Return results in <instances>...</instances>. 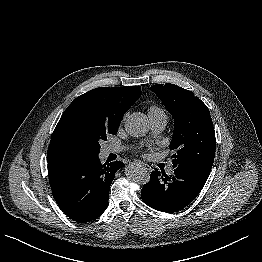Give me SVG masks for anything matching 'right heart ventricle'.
<instances>
[{
  "label": "right heart ventricle",
  "instance_id": "1",
  "mask_svg": "<svg viewBox=\"0 0 262 262\" xmlns=\"http://www.w3.org/2000/svg\"><path fill=\"white\" fill-rule=\"evenodd\" d=\"M148 116H149V118L150 117H157V116H164V117H166L164 111L160 107H158L156 105H153V106L149 107V109H148Z\"/></svg>",
  "mask_w": 262,
  "mask_h": 262
}]
</instances>
